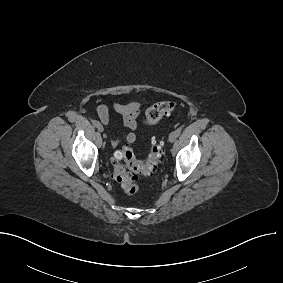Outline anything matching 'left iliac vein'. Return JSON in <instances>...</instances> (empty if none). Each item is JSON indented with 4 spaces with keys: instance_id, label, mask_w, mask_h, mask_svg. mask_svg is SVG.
<instances>
[{
    "instance_id": "left-iliac-vein-1",
    "label": "left iliac vein",
    "mask_w": 283,
    "mask_h": 283,
    "mask_svg": "<svg viewBox=\"0 0 283 283\" xmlns=\"http://www.w3.org/2000/svg\"><path fill=\"white\" fill-rule=\"evenodd\" d=\"M176 138H177L176 132L175 131L171 132L169 135V141L173 143L176 140Z\"/></svg>"
}]
</instances>
